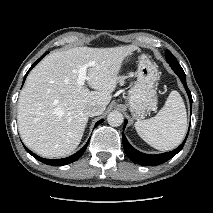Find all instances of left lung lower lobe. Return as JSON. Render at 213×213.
Segmentation results:
<instances>
[{
	"label": "left lung lower lobe",
	"mask_w": 213,
	"mask_h": 213,
	"mask_svg": "<svg viewBox=\"0 0 213 213\" xmlns=\"http://www.w3.org/2000/svg\"><path fill=\"white\" fill-rule=\"evenodd\" d=\"M177 75L181 79V81L185 87V90L188 94L189 101H190V110H191L192 109V96H191V92L188 89L187 84H186L185 74L178 73ZM126 124H127V120H125L124 128H125ZM187 136H188V134H187ZM187 136H186L185 140L182 142V144L178 148L174 149L173 151L162 153V154L150 155V154H144L142 152H139L138 150L133 148L130 145V143L127 141V139L123 133V147H124L125 153L128 156V158L131 159L134 163L140 164L143 166H155V165H160L162 163H165L166 161L171 159L173 156H175L178 152H180L186 142Z\"/></svg>",
	"instance_id": "1"
}]
</instances>
